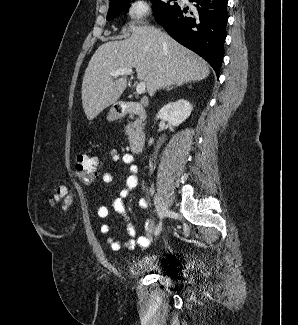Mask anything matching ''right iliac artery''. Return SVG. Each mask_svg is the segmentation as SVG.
Wrapping results in <instances>:
<instances>
[{
    "instance_id": "obj_1",
    "label": "right iliac artery",
    "mask_w": 298,
    "mask_h": 325,
    "mask_svg": "<svg viewBox=\"0 0 298 325\" xmlns=\"http://www.w3.org/2000/svg\"><path fill=\"white\" fill-rule=\"evenodd\" d=\"M161 222L157 225L156 229H155V235H158L161 232Z\"/></svg>"
}]
</instances>
